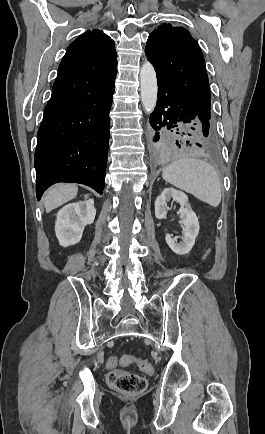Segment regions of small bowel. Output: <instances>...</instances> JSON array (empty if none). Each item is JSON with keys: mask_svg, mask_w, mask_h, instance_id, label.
Listing matches in <instances>:
<instances>
[{"mask_svg": "<svg viewBox=\"0 0 265 434\" xmlns=\"http://www.w3.org/2000/svg\"><path fill=\"white\" fill-rule=\"evenodd\" d=\"M118 364L122 365L118 360H115L113 357H111L106 362V368L111 370L116 368Z\"/></svg>", "mask_w": 265, "mask_h": 434, "instance_id": "obj_1", "label": "small bowel"}]
</instances>
